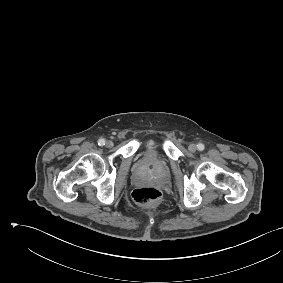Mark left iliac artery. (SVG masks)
Listing matches in <instances>:
<instances>
[{
    "label": "left iliac artery",
    "mask_w": 283,
    "mask_h": 283,
    "mask_svg": "<svg viewBox=\"0 0 283 283\" xmlns=\"http://www.w3.org/2000/svg\"><path fill=\"white\" fill-rule=\"evenodd\" d=\"M204 145L202 144V143H199L198 145H197V149L199 150V151H203L204 150Z\"/></svg>",
    "instance_id": "left-iliac-artery-1"
}]
</instances>
